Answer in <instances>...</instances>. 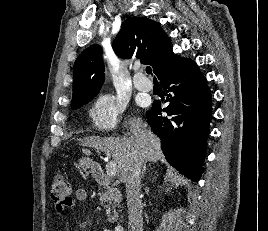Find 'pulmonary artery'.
<instances>
[{
	"label": "pulmonary artery",
	"mask_w": 268,
	"mask_h": 231,
	"mask_svg": "<svg viewBox=\"0 0 268 231\" xmlns=\"http://www.w3.org/2000/svg\"><path fill=\"white\" fill-rule=\"evenodd\" d=\"M135 88L140 92H149L152 89V82L140 71L133 78Z\"/></svg>",
	"instance_id": "pulmonary-artery-1"
}]
</instances>
